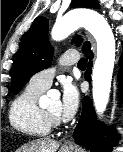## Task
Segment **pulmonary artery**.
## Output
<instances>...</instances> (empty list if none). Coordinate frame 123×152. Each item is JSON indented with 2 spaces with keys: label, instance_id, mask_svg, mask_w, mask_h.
Listing matches in <instances>:
<instances>
[{
  "label": "pulmonary artery",
  "instance_id": "1",
  "mask_svg": "<svg viewBox=\"0 0 123 152\" xmlns=\"http://www.w3.org/2000/svg\"><path fill=\"white\" fill-rule=\"evenodd\" d=\"M78 61H79L78 53L74 51H66L61 55L59 59V64L63 66H69L77 63ZM54 75H55L54 68L44 69L32 76L29 85L39 89L46 90L47 88L50 87Z\"/></svg>",
  "mask_w": 123,
  "mask_h": 152
}]
</instances>
